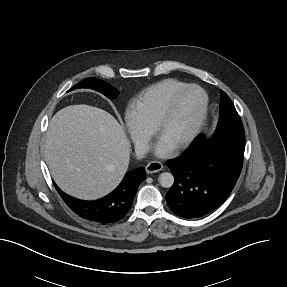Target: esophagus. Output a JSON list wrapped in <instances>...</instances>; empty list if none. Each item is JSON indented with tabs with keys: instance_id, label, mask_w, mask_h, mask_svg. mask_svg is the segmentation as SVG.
Listing matches in <instances>:
<instances>
[{
	"instance_id": "esophagus-1",
	"label": "esophagus",
	"mask_w": 287,
	"mask_h": 287,
	"mask_svg": "<svg viewBox=\"0 0 287 287\" xmlns=\"http://www.w3.org/2000/svg\"><path fill=\"white\" fill-rule=\"evenodd\" d=\"M163 164L160 161H152L147 164L146 171L147 173H156L162 170Z\"/></svg>"
}]
</instances>
